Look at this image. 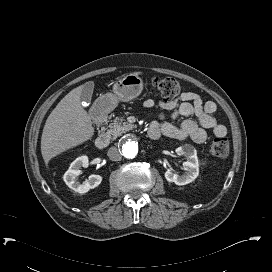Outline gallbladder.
Returning <instances> with one entry per match:
<instances>
[{
	"label": "gallbladder",
	"mask_w": 272,
	"mask_h": 272,
	"mask_svg": "<svg viewBox=\"0 0 272 272\" xmlns=\"http://www.w3.org/2000/svg\"><path fill=\"white\" fill-rule=\"evenodd\" d=\"M94 85L92 82H87L84 87L81 94V101L84 103H87L88 105L91 103V97L93 93Z\"/></svg>",
	"instance_id": "obj_1"
}]
</instances>
